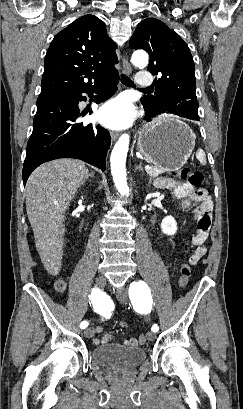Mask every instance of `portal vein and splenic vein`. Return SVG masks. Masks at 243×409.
Masks as SVG:
<instances>
[{"instance_id": "18ae733b", "label": "portal vein and splenic vein", "mask_w": 243, "mask_h": 409, "mask_svg": "<svg viewBox=\"0 0 243 409\" xmlns=\"http://www.w3.org/2000/svg\"><path fill=\"white\" fill-rule=\"evenodd\" d=\"M145 169H146V170H149V169H151V166L145 165Z\"/></svg>"}]
</instances>
